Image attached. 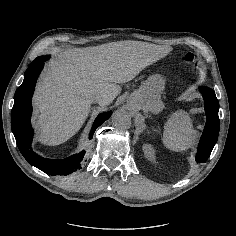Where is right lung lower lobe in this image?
I'll return each mask as SVG.
<instances>
[{
    "label": "right lung lower lobe",
    "instance_id": "1",
    "mask_svg": "<svg viewBox=\"0 0 236 236\" xmlns=\"http://www.w3.org/2000/svg\"><path fill=\"white\" fill-rule=\"evenodd\" d=\"M47 59V56L37 57L26 70L23 83L18 87L14 95V105L11 113V128L20 152L31 165L52 176L67 175L81 169L80 163L83 160L85 151L71 155L65 159H47L34 153L31 148L33 138V129L30 123L32 113L31 98L37 77ZM110 116L111 112H108L102 113L96 118L90 131V139L96 128L105 120L109 119Z\"/></svg>",
    "mask_w": 236,
    "mask_h": 236
}]
</instances>
